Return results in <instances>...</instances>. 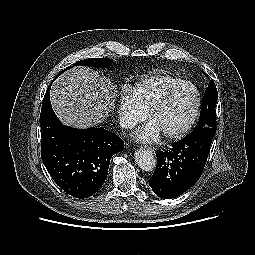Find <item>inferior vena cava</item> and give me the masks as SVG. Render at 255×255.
Returning <instances> with one entry per match:
<instances>
[{"label": "inferior vena cava", "mask_w": 255, "mask_h": 255, "mask_svg": "<svg viewBox=\"0 0 255 255\" xmlns=\"http://www.w3.org/2000/svg\"><path fill=\"white\" fill-rule=\"evenodd\" d=\"M120 125L123 128H132L134 127L135 123L134 121L130 120V119H126V118H121L120 119Z\"/></svg>", "instance_id": "602c4592"}]
</instances>
